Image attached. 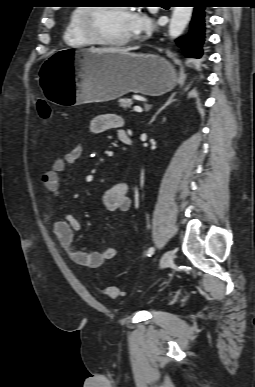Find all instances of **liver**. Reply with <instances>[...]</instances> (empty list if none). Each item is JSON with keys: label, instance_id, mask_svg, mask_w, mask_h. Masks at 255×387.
Instances as JSON below:
<instances>
[{"label": "liver", "instance_id": "1", "mask_svg": "<svg viewBox=\"0 0 255 387\" xmlns=\"http://www.w3.org/2000/svg\"><path fill=\"white\" fill-rule=\"evenodd\" d=\"M134 48H92L90 50L94 52H111V53H128Z\"/></svg>", "mask_w": 255, "mask_h": 387}]
</instances>
